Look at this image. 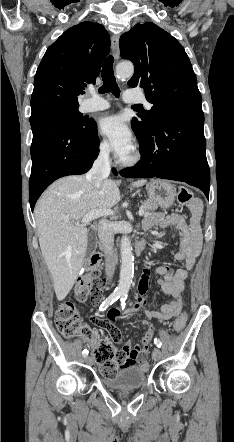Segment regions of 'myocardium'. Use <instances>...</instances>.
<instances>
[{
    "mask_svg": "<svg viewBox=\"0 0 234 442\" xmlns=\"http://www.w3.org/2000/svg\"><path fill=\"white\" fill-rule=\"evenodd\" d=\"M141 160V153L139 150L135 149L128 157L120 159L121 166L125 168H130L137 165Z\"/></svg>",
    "mask_w": 234,
    "mask_h": 442,
    "instance_id": "myocardium-1",
    "label": "myocardium"
}]
</instances>
